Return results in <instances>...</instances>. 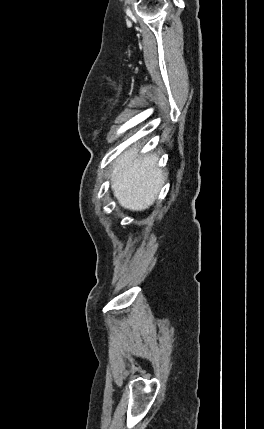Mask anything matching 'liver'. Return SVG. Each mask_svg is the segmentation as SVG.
Segmentation results:
<instances>
[{
  "mask_svg": "<svg viewBox=\"0 0 264 429\" xmlns=\"http://www.w3.org/2000/svg\"><path fill=\"white\" fill-rule=\"evenodd\" d=\"M135 144L113 163L112 190L119 204L132 211L148 209L162 188L166 175L157 167L159 157L147 154L138 157Z\"/></svg>",
  "mask_w": 264,
  "mask_h": 429,
  "instance_id": "obj_1",
  "label": "liver"
}]
</instances>
